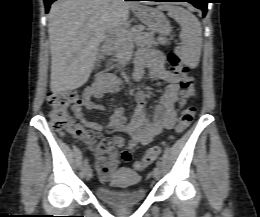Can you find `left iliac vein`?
I'll use <instances>...</instances> for the list:
<instances>
[{
    "label": "left iliac vein",
    "mask_w": 260,
    "mask_h": 217,
    "mask_svg": "<svg viewBox=\"0 0 260 217\" xmlns=\"http://www.w3.org/2000/svg\"><path fill=\"white\" fill-rule=\"evenodd\" d=\"M161 176V169L160 167L156 166L154 169H153V177L158 180Z\"/></svg>",
    "instance_id": "4c4485c4"
}]
</instances>
